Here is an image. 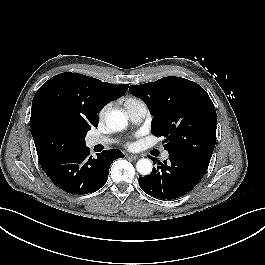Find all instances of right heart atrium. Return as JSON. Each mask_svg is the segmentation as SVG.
Segmentation results:
<instances>
[{
	"label": "right heart atrium",
	"instance_id": "1",
	"mask_svg": "<svg viewBox=\"0 0 265 265\" xmlns=\"http://www.w3.org/2000/svg\"><path fill=\"white\" fill-rule=\"evenodd\" d=\"M108 109H109V105L104 106V107L100 110V112H99V114H98L99 118H104V116L106 115Z\"/></svg>",
	"mask_w": 265,
	"mask_h": 265
}]
</instances>
